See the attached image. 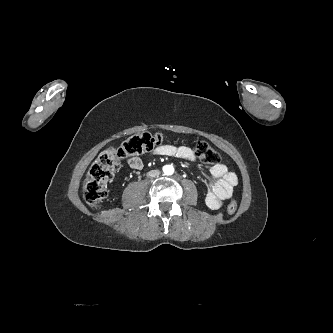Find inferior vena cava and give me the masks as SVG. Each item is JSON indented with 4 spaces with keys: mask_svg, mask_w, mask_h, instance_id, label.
Here are the masks:
<instances>
[{
    "mask_svg": "<svg viewBox=\"0 0 333 333\" xmlns=\"http://www.w3.org/2000/svg\"><path fill=\"white\" fill-rule=\"evenodd\" d=\"M160 174V171L159 170H151L147 173V176L148 177H156Z\"/></svg>",
    "mask_w": 333,
    "mask_h": 333,
    "instance_id": "602c4592",
    "label": "inferior vena cava"
}]
</instances>
